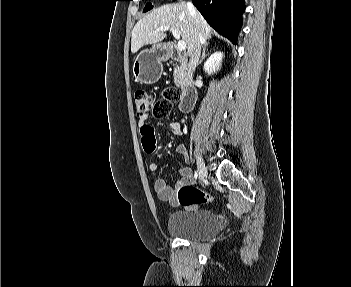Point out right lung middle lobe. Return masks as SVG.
Wrapping results in <instances>:
<instances>
[{
    "label": "right lung middle lobe",
    "instance_id": "1",
    "mask_svg": "<svg viewBox=\"0 0 351 287\" xmlns=\"http://www.w3.org/2000/svg\"><path fill=\"white\" fill-rule=\"evenodd\" d=\"M152 8H153V5L151 3H147L143 12H147V11L151 10Z\"/></svg>",
    "mask_w": 351,
    "mask_h": 287
}]
</instances>
